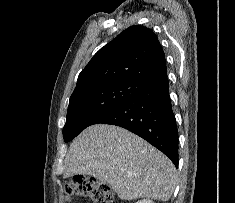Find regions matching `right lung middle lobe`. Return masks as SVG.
<instances>
[{"label":"right lung middle lobe","instance_id":"1","mask_svg":"<svg viewBox=\"0 0 235 203\" xmlns=\"http://www.w3.org/2000/svg\"><path fill=\"white\" fill-rule=\"evenodd\" d=\"M145 85L132 81H106L76 90L70 97L63 128L65 142L71 141L86 127L140 92Z\"/></svg>","mask_w":235,"mask_h":203}]
</instances>
